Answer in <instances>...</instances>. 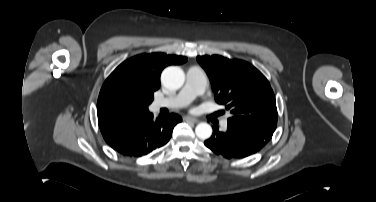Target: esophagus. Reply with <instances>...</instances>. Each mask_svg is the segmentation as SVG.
I'll return each mask as SVG.
<instances>
[{
  "label": "esophagus",
  "mask_w": 376,
  "mask_h": 202,
  "mask_svg": "<svg viewBox=\"0 0 376 202\" xmlns=\"http://www.w3.org/2000/svg\"><path fill=\"white\" fill-rule=\"evenodd\" d=\"M184 119L187 120V121L193 122V123H198L199 122L198 119H196L194 117H191V116H186Z\"/></svg>",
  "instance_id": "34e87169"
}]
</instances>
